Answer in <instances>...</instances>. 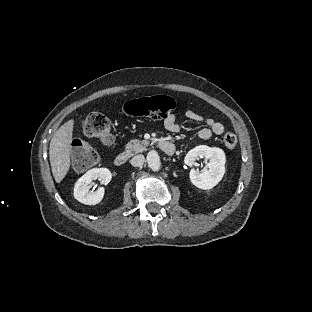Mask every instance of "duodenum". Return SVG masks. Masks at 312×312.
<instances>
[{
    "mask_svg": "<svg viewBox=\"0 0 312 312\" xmlns=\"http://www.w3.org/2000/svg\"><path fill=\"white\" fill-rule=\"evenodd\" d=\"M158 146L167 155H175L177 152L175 144L170 141L159 140ZM128 158H129V153L126 151H123L115 157L114 163L116 166L122 167L125 165Z\"/></svg>",
    "mask_w": 312,
    "mask_h": 312,
    "instance_id": "obj_1",
    "label": "duodenum"
}]
</instances>
